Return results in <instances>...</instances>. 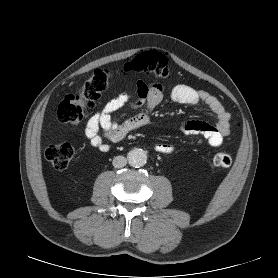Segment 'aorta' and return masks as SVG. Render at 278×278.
I'll list each match as a JSON object with an SVG mask.
<instances>
[{"label":"aorta","instance_id":"aorta-1","mask_svg":"<svg viewBox=\"0 0 278 278\" xmlns=\"http://www.w3.org/2000/svg\"><path fill=\"white\" fill-rule=\"evenodd\" d=\"M127 159L130 166L140 168L146 164L147 154L143 149L135 148L129 151Z\"/></svg>","mask_w":278,"mask_h":278}]
</instances>
